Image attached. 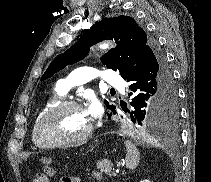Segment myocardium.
I'll use <instances>...</instances> for the list:
<instances>
[{
	"label": "myocardium",
	"mask_w": 211,
	"mask_h": 182,
	"mask_svg": "<svg viewBox=\"0 0 211 182\" xmlns=\"http://www.w3.org/2000/svg\"><path fill=\"white\" fill-rule=\"evenodd\" d=\"M71 107L83 109V106L79 102H76L74 100H61L41 116L35 127V138L39 146L44 148H54L64 145H76L84 143L91 137L94 130V126L92 123L82 135L75 138L48 140L45 137L44 127L47 124V122L56 114Z\"/></svg>",
	"instance_id": "obj_1"
}]
</instances>
